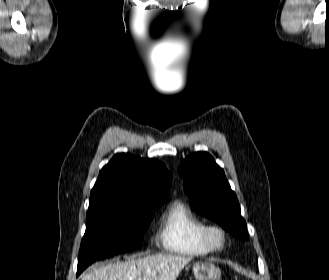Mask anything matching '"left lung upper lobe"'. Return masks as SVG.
Returning a JSON list of instances; mask_svg holds the SVG:
<instances>
[{
  "label": "left lung upper lobe",
  "mask_w": 329,
  "mask_h": 280,
  "mask_svg": "<svg viewBox=\"0 0 329 280\" xmlns=\"http://www.w3.org/2000/svg\"><path fill=\"white\" fill-rule=\"evenodd\" d=\"M193 210L215 220L236 238L248 240L247 225L224 171L206 152L186 157L178 168Z\"/></svg>",
  "instance_id": "5c2ea615"
}]
</instances>
